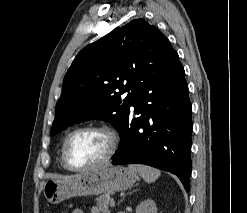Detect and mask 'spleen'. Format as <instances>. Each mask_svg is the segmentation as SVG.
I'll return each instance as SVG.
<instances>
[{
	"label": "spleen",
	"instance_id": "spleen-1",
	"mask_svg": "<svg viewBox=\"0 0 247 213\" xmlns=\"http://www.w3.org/2000/svg\"><path fill=\"white\" fill-rule=\"evenodd\" d=\"M128 168L138 173L147 183L154 182L161 174L159 170L146 165L133 164L129 165Z\"/></svg>",
	"mask_w": 247,
	"mask_h": 213
}]
</instances>
